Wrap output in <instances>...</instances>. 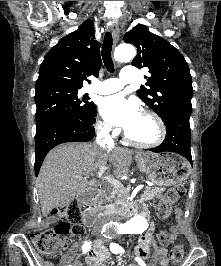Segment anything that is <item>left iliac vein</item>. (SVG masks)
<instances>
[{"mask_svg":"<svg viewBox=\"0 0 221 266\" xmlns=\"http://www.w3.org/2000/svg\"><path fill=\"white\" fill-rule=\"evenodd\" d=\"M101 249H102V250H106L104 246H101ZM106 251H107V250H106Z\"/></svg>","mask_w":221,"mask_h":266,"instance_id":"1","label":"left iliac vein"}]
</instances>
